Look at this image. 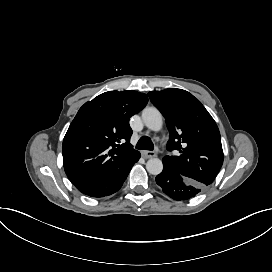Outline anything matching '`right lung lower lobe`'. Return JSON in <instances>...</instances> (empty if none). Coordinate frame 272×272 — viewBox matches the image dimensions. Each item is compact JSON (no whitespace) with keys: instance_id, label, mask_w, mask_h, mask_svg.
I'll list each match as a JSON object with an SVG mask.
<instances>
[{"instance_id":"right-lung-lower-lobe-1","label":"right lung lower lobe","mask_w":272,"mask_h":272,"mask_svg":"<svg viewBox=\"0 0 272 272\" xmlns=\"http://www.w3.org/2000/svg\"><path fill=\"white\" fill-rule=\"evenodd\" d=\"M140 153L117 169L92 180L75 185L83 194L101 198L117 192L127 178L132 166L139 160Z\"/></svg>"}]
</instances>
